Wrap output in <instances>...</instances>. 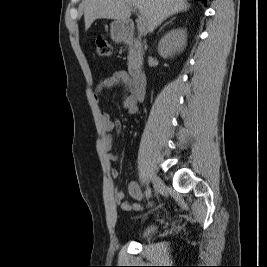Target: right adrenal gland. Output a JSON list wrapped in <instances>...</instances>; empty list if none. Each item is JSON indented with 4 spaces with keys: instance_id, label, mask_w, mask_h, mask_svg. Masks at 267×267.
I'll return each mask as SVG.
<instances>
[{
    "instance_id": "1",
    "label": "right adrenal gland",
    "mask_w": 267,
    "mask_h": 267,
    "mask_svg": "<svg viewBox=\"0 0 267 267\" xmlns=\"http://www.w3.org/2000/svg\"><path fill=\"white\" fill-rule=\"evenodd\" d=\"M176 17H173L172 19H170L168 22H166L160 29L159 31H161L167 24L172 23V21L175 19Z\"/></svg>"
}]
</instances>
